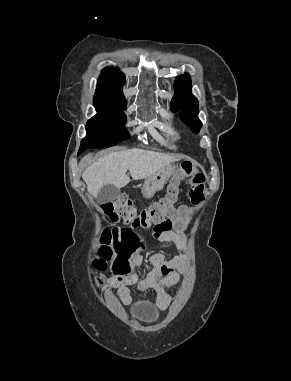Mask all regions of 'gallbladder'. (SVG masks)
<instances>
[{
    "mask_svg": "<svg viewBox=\"0 0 291 381\" xmlns=\"http://www.w3.org/2000/svg\"><path fill=\"white\" fill-rule=\"evenodd\" d=\"M120 195V189L113 185H104L97 196V201L99 204H106L114 201Z\"/></svg>",
    "mask_w": 291,
    "mask_h": 381,
    "instance_id": "gallbladder-1",
    "label": "gallbladder"
}]
</instances>
